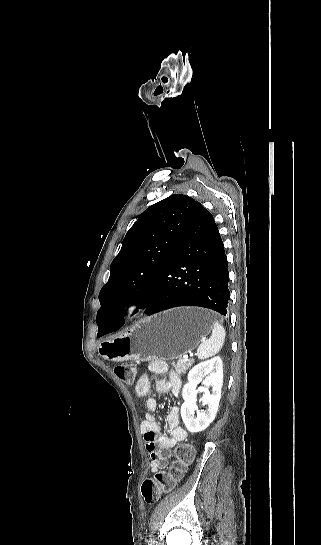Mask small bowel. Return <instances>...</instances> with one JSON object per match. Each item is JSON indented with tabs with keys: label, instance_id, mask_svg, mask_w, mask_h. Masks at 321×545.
Wrapping results in <instances>:
<instances>
[{
	"label": "small bowel",
	"instance_id": "c3829d8e",
	"mask_svg": "<svg viewBox=\"0 0 321 545\" xmlns=\"http://www.w3.org/2000/svg\"><path fill=\"white\" fill-rule=\"evenodd\" d=\"M154 373L164 378H157L154 388L158 393H172L177 395L181 389V379L177 373L169 371L165 362L152 361L135 385L137 396L144 400L147 412L140 430L145 441V448L150 455V468L153 473L165 466L171 458V449L179 442L187 438L186 430L180 425V412L177 406L170 409L167 415L168 433H161V427L154 417L158 404L154 397L149 396L150 380L148 373Z\"/></svg>",
	"mask_w": 321,
	"mask_h": 545
}]
</instances>
